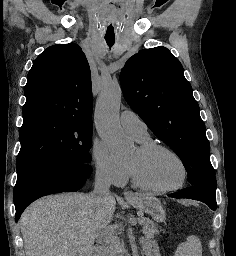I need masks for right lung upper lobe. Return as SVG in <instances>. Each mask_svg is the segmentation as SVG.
<instances>
[{
    "label": "right lung upper lobe",
    "instance_id": "cb5924a9",
    "mask_svg": "<svg viewBox=\"0 0 236 256\" xmlns=\"http://www.w3.org/2000/svg\"><path fill=\"white\" fill-rule=\"evenodd\" d=\"M23 120L53 116L92 122V87L88 61L74 43L47 48L27 76Z\"/></svg>",
    "mask_w": 236,
    "mask_h": 256
}]
</instances>
